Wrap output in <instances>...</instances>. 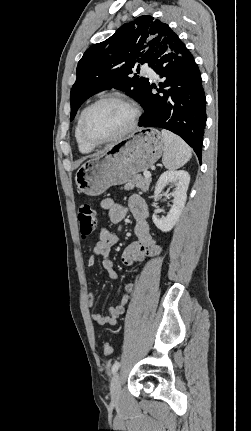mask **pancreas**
<instances>
[{
	"label": "pancreas",
	"instance_id": "cf45deb5",
	"mask_svg": "<svg viewBox=\"0 0 251 431\" xmlns=\"http://www.w3.org/2000/svg\"><path fill=\"white\" fill-rule=\"evenodd\" d=\"M151 183V178L143 177L142 175L133 176L128 183L125 184V190H132L134 187L141 189V191L146 192L149 189Z\"/></svg>",
	"mask_w": 251,
	"mask_h": 431
}]
</instances>
